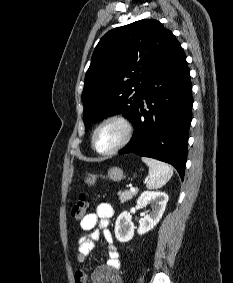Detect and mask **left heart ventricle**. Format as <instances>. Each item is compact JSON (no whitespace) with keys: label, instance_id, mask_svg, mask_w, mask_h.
<instances>
[{"label":"left heart ventricle","instance_id":"obj_1","mask_svg":"<svg viewBox=\"0 0 233 283\" xmlns=\"http://www.w3.org/2000/svg\"><path fill=\"white\" fill-rule=\"evenodd\" d=\"M123 136V128L117 123L104 125L95 138V145L100 151H108L119 143Z\"/></svg>","mask_w":233,"mask_h":283}]
</instances>
